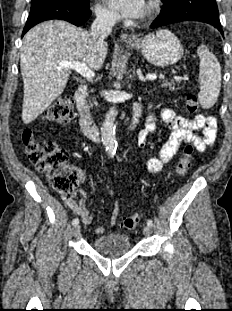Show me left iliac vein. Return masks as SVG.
I'll use <instances>...</instances> for the list:
<instances>
[{
    "instance_id": "1",
    "label": "left iliac vein",
    "mask_w": 232,
    "mask_h": 311,
    "mask_svg": "<svg viewBox=\"0 0 232 311\" xmlns=\"http://www.w3.org/2000/svg\"><path fill=\"white\" fill-rule=\"evenodd\" d=\"M143 233L145 236H149L151 233H152V229H151V226H145L144 229H143Z\"/></svg>"
}]
</instances>
